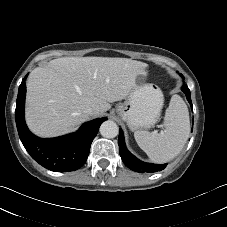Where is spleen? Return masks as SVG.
Segmentation results:
<instances>
[{
  "mask_svg": "<svg viewBox=\"0 0 227 227\" xmlns=\"http://www.w3.org/2000/svg\"><path fill=\"white\" fill-rule=\"evenodd\" d=\"M164 127V131L159 133L146 130L134 132L139 147L156 163H164L175 158L189 137V112L179 95L171 97L164 117Z\"/></svg>",
  "mask_w": 227,
  "mask_h": 227,
  "instance_id": "obj_1",
  "label": "spleen"
}]
</instances>
